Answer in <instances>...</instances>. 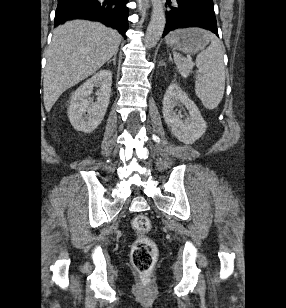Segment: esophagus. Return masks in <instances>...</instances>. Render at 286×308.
<instances>
[{
  "label": "esophagus",
  "instance_id": "esophagus-1",
  "mask_svg": "<svg viewBox=\"0 0 286 308\" xmlns=\"http://www.w3.org/2000/svg\"><path fill=\"white\" fill-rule=\"evenodd\" d=\"M141 7L148 9L150 7L149 0H138Z\"/></svg>",
  "mask_w": 286,
  "mask_h": 308
}]
</instances>
